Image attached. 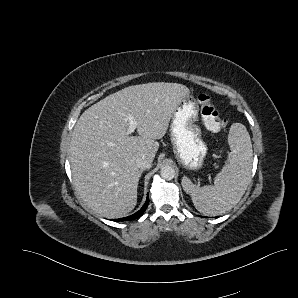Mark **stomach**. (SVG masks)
Instances as JSON below:
<instances>
[{
    "label": "stomach",
    "mask_w": 298,
    "mask_h": 298,
    "mask_svg": "<svg viewBox=\"0 0 298 298\" xmlns=\"http://www.w3.org/2000/svg\"><path fill=\"white\" fill-rule=\"evenodd\" d=\"M199 105L193 94L184 97L171 116L169 134L174 154L184 167L199 168L207 154V145L202 140L201 129L196 122Z\"/></svg>",
    "instance_id": "stomach-1"
}]
</instances>
